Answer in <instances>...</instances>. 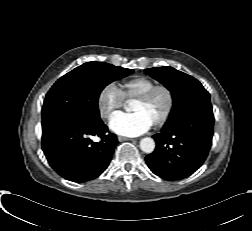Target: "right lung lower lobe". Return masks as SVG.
Instances as JSON below:
<instances>
[{"label":"right lung lower lobe","mask_w":252,"mask_h":231,"mask_svg":"<svg viewBox=\"0 0 252 231\" xmlns=\"http://www.w3.org/2000/svg\"><path fill=\"white\" fill-rule=\"evenodd\" d=\"M99 136L96 143L90 136ZM118 144L100 119L97 122L61 120L42 129V149L50 166L62 177L86 182L99 176L109 165Z\"/></svg>","instance_id":"obj_1"}]
</instances>
